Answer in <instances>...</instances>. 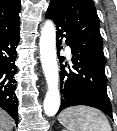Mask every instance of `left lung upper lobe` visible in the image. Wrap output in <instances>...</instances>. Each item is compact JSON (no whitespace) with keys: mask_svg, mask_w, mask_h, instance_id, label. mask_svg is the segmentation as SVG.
<instances>
[{"mask_svg":"<svg viewBox=\"0 0 117 131\" xmlns=\"http://www.w3.org/2000/svg\"><path fill=\"white\" fill-rule=\"evenodd\" d=\"M47 12L59 17L77 46L105 66L100 22L92 0H51Z\"/></svg>","mask_w":117,"mask_h":131,"instance_id":"left-lung-upper-lobe-1","label":"left lung upper lobe"}]
</instances>
